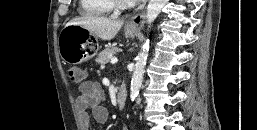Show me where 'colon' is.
<instances>
[{
    "label": "colon",
    "mask_w": 257,
    "mask_h": 130,
    "mask_svg": "<svg viewBox=\"0 0 257 130\" xmlns=\"http://www.w3.org/2000/svg\"><path fill=\"white\" fill-rule=\"evenodd\" d=\"M70 79L75 83H80L85 79V71L81 67L72 66L68 69Z\"/></svg>",
    "instance_id": "1"
}]
</instances>
